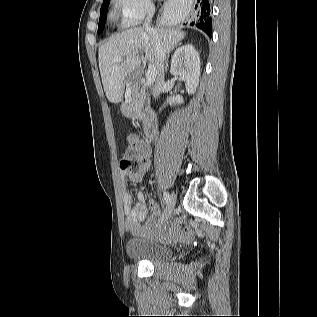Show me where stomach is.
Wrapping results in <instances>:
<instances>
[{"instance_id":"obj_1","label":"stomach","mask_w":317,"mask_h":317,"mask_svg":"<svg viewBox=\"0 0 317 317\" xmlns=\"http://www.w3.org/2000/svg\"><path fill=\"white\" fill-rule=\"evenodd\" d=\"M133 74H142L143 69L142 67H133L132 69ZM125 87H130V83H136L137 77L136 76H125L124 77Z\"/></svg>"}]
</instances>
